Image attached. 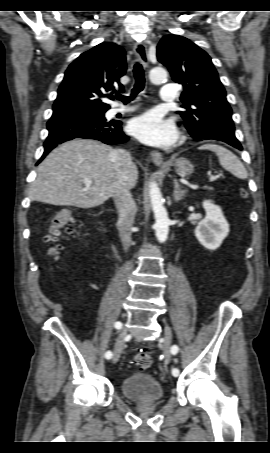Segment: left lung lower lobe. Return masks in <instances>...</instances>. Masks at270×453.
I'll list each match as a JSON object with an SVG mask.
<instances>
[{
  "label": "left lung lower lobe",
  "instance_id": "1",
  "mask_svg": "<svg viewBox=\"0 0 270 453\" xmlns=\"http://www.w3.org/2000/svg\"><path fill=\"white\" fill-rule=\"evenodd\" d=\"M189 133L194 139L199 140V141H202V140H219V141H223L225 143H228L229 145L237 148L238 150H242V146L238 142V140H222V139H219V138H216V137H208V136H204V137L198 138L195 135H193L191 132H189Z\"/></svg>",
  "mask_w": 270,
  "mask_h": 453
}]
</instances>
